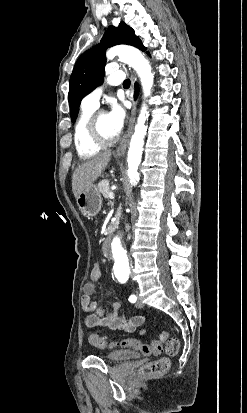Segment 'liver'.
<instances>
[{
  "label": "liver",
  "instance_id": "6515ba94",
  "mask_svg": "<svg viewBox=\"0 0 247 413\" xmlns=\"http://www.w3.org/2000/svg\"><path fill=\"white\" fill-rule=\"evenodd\" d=\"M110 156L111 150H105V152L92 156V158L85 160V162H82V164L75 168L72 176V190L76 198L78 194H81L88 186H91L94 180H97L101 172L105 170Z\"/></svg>",
  "mask_w": 247,
  "mask_h": 413
}]
</instances>
